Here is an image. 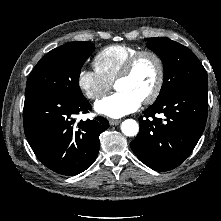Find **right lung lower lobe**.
I'll list each match as a JSON object with an SVG mask.
<instances>
[{"mask_svg":"<svg viewBox=\"0 0 221 221\" xmlns=\"http://www.w3.org/2000/svg\"><path fill=\"white\" fill-rule=\"evenodd\" d=\"M86 98L71 99L40 90H26L23 124L28 143L50 170L77 175L92 165L100 147L99 135L109 127L96 117L75 124L74 116L88 113Z\"/></svg>","mask_w":221,"mask_h":221,"instance_id":"obj_1","label":"right lung lower lobe"}]
</instances>
